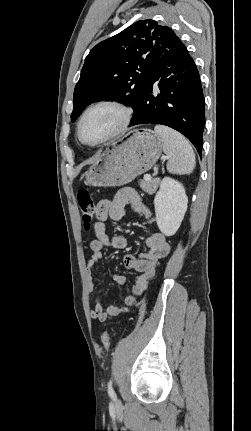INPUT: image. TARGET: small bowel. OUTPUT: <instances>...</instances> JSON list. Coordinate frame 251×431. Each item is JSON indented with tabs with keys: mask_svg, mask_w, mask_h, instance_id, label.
Here are the masks:
<instances>
[{
	"mask_svg": "<svg viewBox=\"0 0 251 431\" xmlns=\"http://www.w3.org/2000/svg\"><path fill=\"white\" fill-rule=\"evenodd\" d=\"M129 207L134 213L144 216L154 221L152 214L137 192L131 188L119 190L112 200H101L96 208V223L94 225L95 238L90 242L92 254L87 262V282L88 291L94 290L92 269L102 260L105 248L125 249L127 240L121 235L109 236L106 233L105 222L108 219L119 221L126 214ZM148 250L140 257L126 255L124 264L126 267L139 272L131 288L132 294L124 298L123 304L110 305L103 309L99 302H96L91 309L90 315L93 319L105 322L108 319L127 312L136 302L137 297L142 295L148 286L149 280L155 275L161 261L166 258L171 250L167 236L160 231L154 232L145 238ZM112 280L118 285H124L126 279L123 275L113 273Z\"/></svg>",
	"mask_w": 251,
	"mask_h": 431,
	"instance_id": "1",
	"label": "small bowel"
}]
</instances>
